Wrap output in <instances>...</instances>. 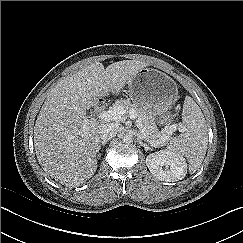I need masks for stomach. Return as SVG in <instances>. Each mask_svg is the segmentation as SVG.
<instances>
[{"label":"stomach","mask_w":243,"mask_h":243,"mask_svg":"<svg viewBox=\"0 0 243 243\" xmlns=\"http://www.w3.org/2000/svg\"><path fill=\"white\" fill-rule=\"evenodd\" d=\"M132 102L153 116H160L172 108L178 98V88L172 78L165 73L149 67L138 71L128 83ZM159 124L166 121L158 119Z\"/></svg>","instance_id":"0dacf381"}]
</instances>
